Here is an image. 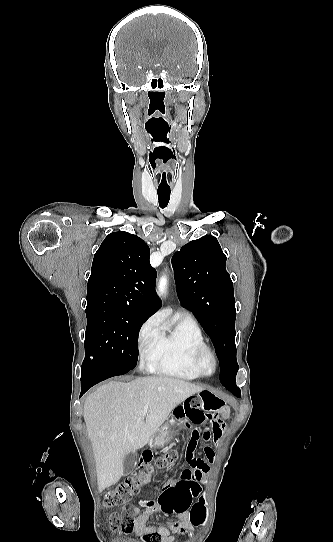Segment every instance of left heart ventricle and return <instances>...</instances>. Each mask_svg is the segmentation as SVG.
Listing matches in <instances>:
<instances>
[{"label": "left heart ventricle", "instance_id": "obj_1", "mask_svg": "<svg viewBox=\"0 0 333 542\" xmlns=\"http://www.w3.org/2000/svg\"><path fill=\"white\" fill-rule=\"evenodd\" d=\"M203 369L206 372H210L212 370V362H211V359L209 357L204 358V360H203Z\"/></svg>", "mask_w": 333, "mask_h": 542}]
</instances>
